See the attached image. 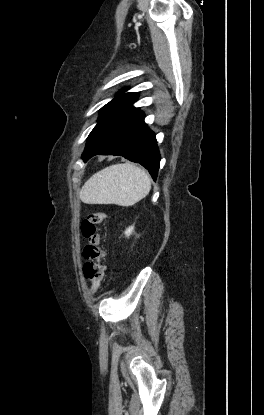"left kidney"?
Masks as SVG:
<instances>
[{"label":"left kidney","instance_id":"left-kidney-1","mask_svg":"<svg viewBox=\"0 0 264 415\" xmlns=\"http://www.w3.org/2000/svg\"><path fill=\"white\" fill-rule=\"evenodd\" d=\"M133 229H134V227L133 226H131V227H129V228H127L126 229V231H125V235L128 237V236H130L131 234H132V232H133Z\"/></svg>","mask_w":264,"mask_h":415}]
</instances>
